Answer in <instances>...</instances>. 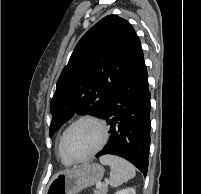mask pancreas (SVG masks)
Listing matches in <instances>:
<instances>
[{"instance_id":"obj_1","label":"pancreas","mask_w":201,"mask_h":194,"mask_svg":"<svg viewBox=\"0 0 201 194\" xmlns=\"http://www.w3.org/2000/svg\"><path fill=\"white\" fill-rule=\"evenodd\" d=\"M108 191V188L106 185H104L103 187H101L100 189H97L94 191V194H106Z\"/></svg>"}]
</instances>
